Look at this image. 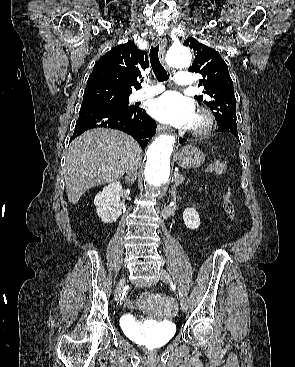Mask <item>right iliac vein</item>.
Here are the masks:
<instances>
[{"label": "right iliac vein", "mask_w": 295, "mask_h": 367, "mask_svg": "<svg viewBox=\"0 0 295 367\" xmlns=\"http://www.w3.org/2000/svg\"><path fill=\"white\" fill-rule=\"evenodd\" d=\"M125 281H126L125 278H122L117 286L116 293H115L117 298L121 296L122 288L125 284Z\"/></svg>", "instance_id": "63e3f726"}]
</instances>
